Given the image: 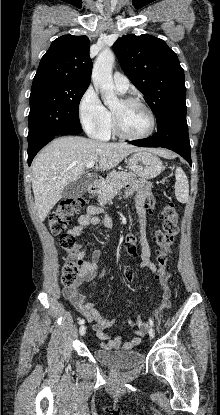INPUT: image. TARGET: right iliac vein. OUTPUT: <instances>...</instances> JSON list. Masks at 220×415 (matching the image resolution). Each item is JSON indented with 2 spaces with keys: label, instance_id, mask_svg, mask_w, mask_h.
<instances>
[{
  "label": "right iliac vein",
  "instance_id": "63e3f726",
  "mask_svg": "<svg viewBox=\"0 0 220 415\" xmlns=\"http://www.w3.org/2000/svg\"><path fill=\"white\" fill-rule=\"evenodd\" d=\"M79 333L81 336H83L86 333V327L84 325L80 326Z\"/></svg>",
  "mask_w": 220,
  "mask_h": 415
}]
</instances>
